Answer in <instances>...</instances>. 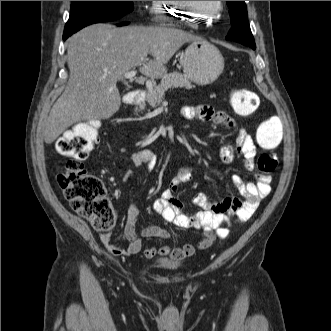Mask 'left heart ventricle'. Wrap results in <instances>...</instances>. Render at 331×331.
I'll return each mask as SVG.
<instances>
[{
	"instance_id": "1",
	"label": "left heart ventricle",
	"mask_w": 331,
	"mask_h": 331,
	"mask_svg": "<svg viewBox=\"0 0 331 331\" xmlns=\"http://www.w3.org/2000/svg\"><path fill=\"white\" fill-rule=\"evenodd\" d=\"M198 9L204 13H213L216 9V1H193Z\"/></svg>"
}]
</instances>
